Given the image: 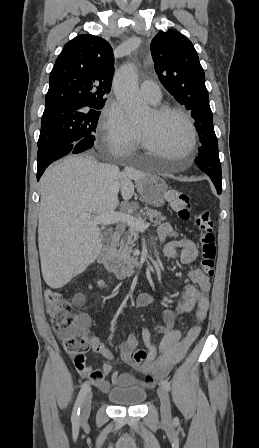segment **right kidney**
I'll return each mask as SVG.
<instances>
[{
	"label": "right kidney",
	"instance_id": "ca27d5eb",
	"mask_svg": "<svg viewBox=\"0 0 259 448\" xmlns=\"http://www.w3.org/2000/svg\"><path fill=\"white\" fill-rule=\"evenodd\" d=\"M73 304L74 306H82V304H85L84 296H81V294H76L75 298H73Z\"/></svg>",
	"mask_w": 259,
	"mask_h": 448
}]
</instances>
